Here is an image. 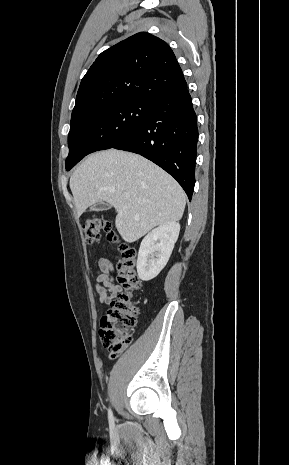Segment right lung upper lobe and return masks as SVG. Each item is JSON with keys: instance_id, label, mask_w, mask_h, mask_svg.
I'll return each instance as SVG.
<instances>
[{"instance_id": "obj_1", "label": "right lung upper lobe", "mask_w": 289, "mask_h": 465, "mask_svg": "<svg viewBox=\"0 0 289 465\" xmlns=\"http://www.w3.org/2000/svg\"><path fill=\"white\" fill-rule=\"evenodd\" d=\"M186 87L167 43L149 33H137L102 52L82 78L71 127L94 108L127 100L154 101Z\"/></svg>"}]
</instances>
